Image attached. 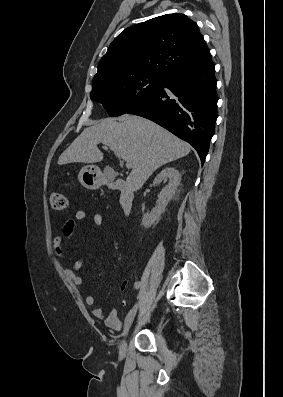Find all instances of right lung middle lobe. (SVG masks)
I'll return each instance as SVG.
<instances>
[{
  "mask_svg": "<svg viewBox=\"0 0 283 397\" xmlns=\"http://www.w3.org/2000/svg\"><path fill=\"white\" fill-rule=\"evenodd\" d=\"M162 83V79L152 76L97 81L93 82L90 97L101 103L111 117H115L154 95Z\"/></svg>",
  "mask_w": 283,
  "mask_h": 397,
  "instance_id": "right-lung-middle-lobe-1",
  "label": "right lung middle lobe"
}]
</instances>
